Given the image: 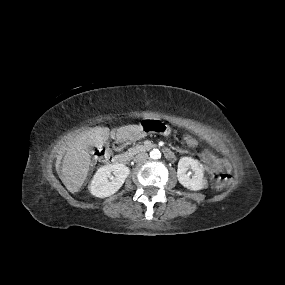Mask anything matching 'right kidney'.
<instances>
[{
    "label": "right kidney",
    "mask_w": 285,
    "mask_h": 285,
    "mask_svg": "<svg viewBox=\"0 0 285 285\" xmlns=\"http://www.w3.org/2000/svg\"><path fill=\"white\" fill-rule=\"evenodd\" d=\"M129 173L130 169L121 163L100 167L89 185V191L98 198L111 196L121 188Z\"/></svg>",
    "instance_id": "1"
}]
</instances>
